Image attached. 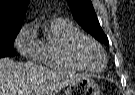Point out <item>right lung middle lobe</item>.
Listing matches in <instances>:
<instances>
[{
    "label": "right lung middle lobe",
    "mask_w": 135,
    "mask_h": 95,
    "mask_svg": "<svg viewBox=\"0 0 135 95\" xmlns=\"http://www.w3.org/2000/svg\"><path fill=\"white\" fill-rule=\"evenodd\" d=\"M19 31L0 35V58L14 57L13 43Z\"/></svg>",
    "instance_id": "obj_1"
}]
</instances>
